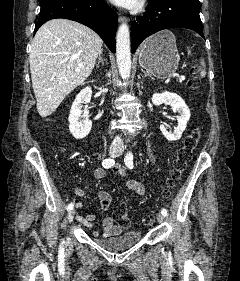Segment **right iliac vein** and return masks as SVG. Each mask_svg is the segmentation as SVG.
<instances>
[{
    "mask_svg": "<svg viewBox=\"0 0 240 281\" xmlns=\"http://www.w3.org/2000/svg\"><path fill=\"white\" fill-rule=\"evenodd\" d=\"M119 152V148L116 147V146H111L110 149H109V154L111 156H115L117 155V153ZM75 213H76V210L75 209H72L69 211L68 213V222H72L74 216H75ZM68 242H69V239H68Z\"/></svg>",
    "mask_w": 240,
    "mask_h": 281,
    "instance_id": "1",
    "label": "right iliac vein"
}]
</instances>
